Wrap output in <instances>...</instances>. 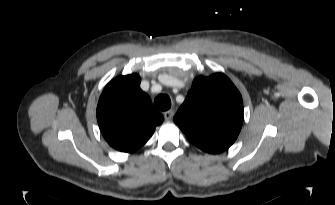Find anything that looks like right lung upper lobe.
Returning <instances> with one entry per match:
<instances>
[{"mask_svg":"<svg viewBox=\"0 0 335 205\" xmlns=\"http://www.w3.org/2000/svg\"><path fill=\"white\" fill-rule=\"evenodd\" d=\"M140 82L137 74L117 77L107 84L98 102L100 130L109 145L121 152L142 147L164 121Z\"/></svg>","mask_w":335,"mask_h":205,"instance_id":"right-lung-upper-lobe-1","label":"right lung upper lobe"}]
</instances>
